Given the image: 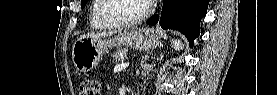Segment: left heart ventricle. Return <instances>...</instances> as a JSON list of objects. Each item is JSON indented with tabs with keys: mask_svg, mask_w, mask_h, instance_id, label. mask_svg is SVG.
<instances>
[{
	"mask_svg": "<svg viewBox=\"0 0 277 95\" xmlns=\"http://www.w3.org/2000/svg\"><path fill=\"white\" fill-rule=\"evenodd\" d=\"M143 10V0H111L105 12L112 17L131 19L139 16Z\"/></svg>",
	"mask_w": 277,
	"mask_h": 95,
	"instance_id": "left-heart-ventricle-1",
	"label": "left heart ventricle"
}]
</instances>
